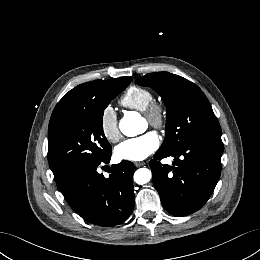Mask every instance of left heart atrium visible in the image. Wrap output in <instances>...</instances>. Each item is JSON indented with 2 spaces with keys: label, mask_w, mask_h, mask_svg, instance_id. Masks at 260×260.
I'll list each match as a JSON object with an SVG mask.
<instances>
[{
  "label": "left heart atrium",
  "mask_w": 260,
  "mask_h": 260,
  "mask_svg": "<svg viewBox=\"0 0 260 260\" xmlns=\"http://www.w3.org/2000/svg\"><path fill=\"white\" fill-rule=\"evenodd\" d=\"M159 145L158 135L154 132H147L120 143L115 149V155L121 160L142 161L155 152Z\"/></svg>",
  "instance_id": "left-heart-atrium-1"
}]
</instances>
